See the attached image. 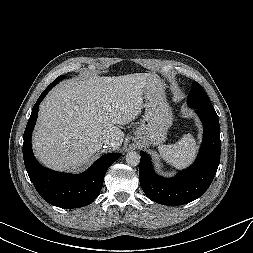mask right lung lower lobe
Listing matches in <instances>:
<instances>
[{
  "label": "right lung lower lobe",
  "mask_w": 253,
  "mask_h": 253,
  "mask_svg": "<svg viewBox=\"0 0 253 253\" xmlns=\"http://www.w3.org/2000/svg\"><path fill=\"white\" fill-rule=\"evenodd\" d=\"M54 86L50 84L43 91L28 120L23 143L25 168L37 192L45 201L61 208H79L90 204L99 195L107 169L121 154L104 155L79 175L52 171L36 161L31 149V135L38 116V106Z\"/></svg>",
  "instance_id": "obj_1"
}]
</instances>
